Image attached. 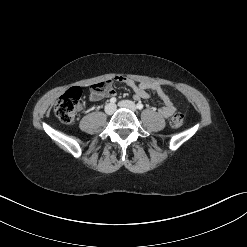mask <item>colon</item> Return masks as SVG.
<instances>
[{"label":"colon","mask_w":247,"mask_h":247,"mask_svg":"<svg viewBox=\"0 0 247 247\" xmlns=\"http://www.w3.org/2000/svg\"><path fill=\"white\" fill-rule=\"evenodd\" d=\"M107 87V82H102L91 86L90 93H98ZM82 90L74 87L66 91L56 102L54 112L56 117L63 123L71 125L75 122L78 111L81 107ZM184 123V115L177 112L170 120V125L174 129L180 128Z\"/></svg>","instance_id":"obj_1"}]
</instances>
